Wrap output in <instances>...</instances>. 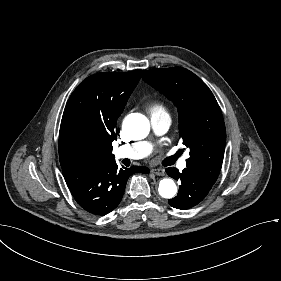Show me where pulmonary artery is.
<instances>
[{"label":"pulmonary artery","mask_w":281,"mask_h":281,"mask_svg":"<svg viewBox=\"0 0 281 281\" xmlns=\"http://www.w3.org/2000/svg\"><path fill=\"white\" fill-rule=\"evenodd\" d=\"M150 124L154 128V134L161 135L169 124V117L163 111H156L150 117ZM151 151L152 144L147 141H141L135 144L125 145L123 148H116L114 153L117 157H122L123 155L125 158H138L149 155ZM179 168H186L185 160L180 161Z\"/></svg>","instance_id":"e3ab8cb5"}]
</instances>
